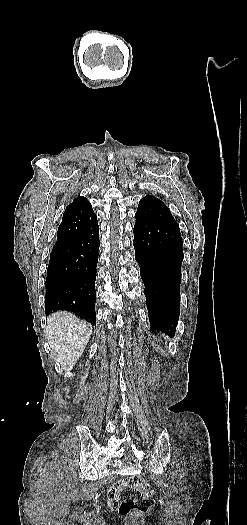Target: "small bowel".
<instances>
[{
    "instance_id": "small-bowel-1",
    "label": "small bowel",
    "mask_w": 247,
    "mask_h": 525,
    "mask_svg": "<svg viewBox=\"0 0 247 525\" xmlns=\"http://www.w3.org/2000/svg\"><path fill=\"white\" fill-rule=\"evenodd\" d=\"M120 487H121V482L119 480H114L107 491L108 495L106 497V500L109 505L108 510L112 514L117 513L119 510V507H118L119 502L116 499V497L119 494Z\"/></svg>"
}]
</instances>
